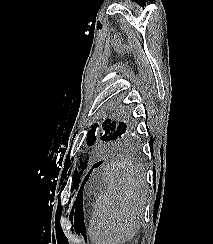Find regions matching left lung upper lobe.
Listing matches in <instances>:
<instances>
[{
	"mask_svg": "<svg viewBox=\"0 0 213 244\" xmlns=\"http://www.w3.org/2000/svg\"><path fill=\"white\" fill-rule=\"evenodd\" d=\"M98 124L92 126L91 130L88 132L87 144L89 146L93 145L96 141V128ZM134 122L128 120L127 110L112 111L107 118L104 120L101 128V133L99 134L100 139L103 141L116 140L118 138L124 137L130 133ZM88 160V157H87ZM87 160L80 158V172H75L73 176V189H76L80 182V175L83 174V170L87 165Z\"/></svg>",
	"mask_w": 213,
	"mask_h": 244,
	"instance_id": "obj_1",
	"label": "left lung upper lobe"
}]
</instances>
